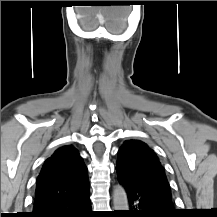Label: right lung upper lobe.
<instances>
[{"mask_svg": "<svg viewBox=\"0 0 217 217\" xmlns=\"http://www.w3.org/2000/svg\"><path fill=\"white\" fill-rule=\"evenodd\" d=\"M89 191L87 168L78 151L63 146L46 160L37 179L33 212Z\"/></svg>", "mask_w": 217, "mask_h": 217, "instance_id": "1", "label": "right lung upper lobe"}]
</instances>
